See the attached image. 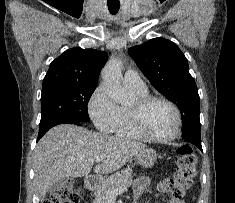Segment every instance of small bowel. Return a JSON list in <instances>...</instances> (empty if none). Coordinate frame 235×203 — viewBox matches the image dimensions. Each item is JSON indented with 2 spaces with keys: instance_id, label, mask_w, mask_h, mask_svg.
<instances>
[{
  "instance_id": "c3829d8e",
  "label": "small bowel",
  "mask_w": 235,
  "mask_h": 203,
  "mask_svg": "<svg viewBox=\"0 0 235 203\" xmlns=\"http://www.w3.org/2000/svg\"><path fill=\"white\" fill-rule=\"evenodd\" d=\"M152 184V179L147 176H141L137 178L134 182V194L139 197L147 188ZM168 203H185L181 199H170Z\"/></svg>"
}]
</instances>
